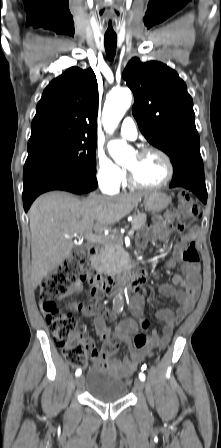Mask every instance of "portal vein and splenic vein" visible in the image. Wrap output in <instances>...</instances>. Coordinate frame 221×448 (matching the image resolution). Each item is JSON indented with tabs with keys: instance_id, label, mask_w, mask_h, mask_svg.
Instances as JSON below:
<instances>
[{
	"instance_id": "portal-vein-and-splenic-vein-1",
	"label": "portal vein and splenic vein",
	"mask_w": 221,
	"mask_h": 448,
	"mask_svg": "<svg viewBox=\"0 0 221 448\" xmlns=\"http://www.w3.org/2000/svg\"><path fill=\"white\" fill-rule=\"evenodd\" d=\"M134 234V230L131 229L130 231H128L127 235L128 236H132ZM86 239L89 242H102V241H106L107 239L100 236V235H93L91 232L86 234Z\"/></svg>"
}]
</instances>
